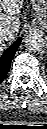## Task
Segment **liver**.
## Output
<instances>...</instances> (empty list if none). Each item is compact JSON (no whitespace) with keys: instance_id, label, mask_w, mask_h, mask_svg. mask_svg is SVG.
I'll use <instances>...</instances> for the list:
<instances>
[{"instance_id":"1","label":"liver","mask_w":47,"mask_h":129,"mask_svg":"<svg viewBox=\"0 0 47 129\" xmlns=\"http://www.w3.org/2000/svg\"><path fill=\"white\" fill-rule=\"evenodd\" d=\"M23 7V0H0V10L5 14H0V31L2 29L15 32V37L20 29V21L18 15ZM11 41L0 40V50L5 47L6 43Z\"/></svg>"}]
</instances>
